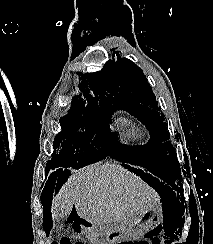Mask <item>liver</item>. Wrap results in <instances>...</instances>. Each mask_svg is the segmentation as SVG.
<instances>
[{
    "label": "liver",
    "instance_id": "1",
    "mask_svg": "<svg viewBox=\"0 0 213 244\" xmlns=\"http://www.w3.org/2000/svg\"><path fill=\"white\" fill-rule=\"evenodd\" d=\"M156 201L154 191L131 171L120 165L97 163L71 172L69 180L53 195L51 216L68 217L75 206L81 218L100 230L113 231L124 217Z\"/></svg>",
    "mask_w": 213,
    "mask_h": 244
}]
</instances>
